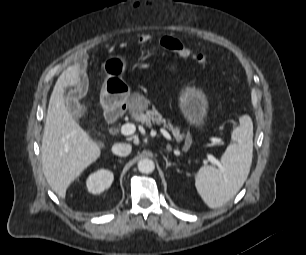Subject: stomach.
<instances>
[{
    "label": "stomach",
    "instance_id": "obj_1",
    "mask_svg": "<svg viewBox=\"0 0 306 255\" xmlns=\"http://www.w3.org/2000/svg\"><path fill=\"white\" fill-rule=\"evenodd\" d=\"M107 78L100 92V103L105 111L115 110L126 104L130 88L120 73L126 69V58L113 55L102 65ZM161 73L168 85L174 89L185 87L189 73L178 59H167L161 66ZM180 108L190 123L201 124L207 113V102L202 92L195 87H186L180 97Z\"/></svg>",
    "mask_w": 306,
    "mask_h": 255
}]
</instances>
